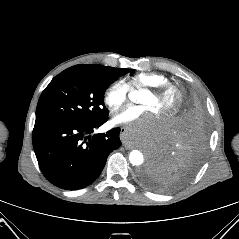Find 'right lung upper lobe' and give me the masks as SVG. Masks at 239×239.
<instances>
[{
  "instance_id": "1",
  "label": "right lung upper lobe",
  "mask_w": 239,
  "mask_h": 239,
  "mask_svg": "<svg viewBox=\"0 0 239 239\" xmlns=\"http://www.w3.org/2000/svg\"><path fill=\"white\" fill-rule=\"evenodd\" d=\"M68 69L85 71V72H108V71H113L116 68L105 67L98 64H88V65H76Z\"/></svg>"
}]
</instances>
